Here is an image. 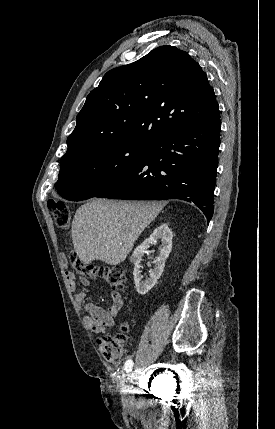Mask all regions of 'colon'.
Instances as JSON below:
<instances>
[{"label": "colon", "mask_w": 275, "mask_h": 429, "mask_svg": "<svg viewBox=\"0 0 275 429\" xmlns=\"http://www.w3.org/2000/svg\"><path fill=\"white\" fill-rule=\"evenodd\" d=\"M48 208L53 216L55 225L60 229H66L70 225L71 213L66 204L59 201H49ZM63 262L68 259L74 269L82 278L93 279L100 278L107 282L114 289H121L126 282L125 270L118 265L114 266H95L84 263L76 255L71 254L69 257L62 254ZM127 327L122 326L121 332L114 336H101L98 339L99 350L103 358L110 364L118 365L124 357V343Z\"/></svg>", "instance_id": "1"}]
</instances>
